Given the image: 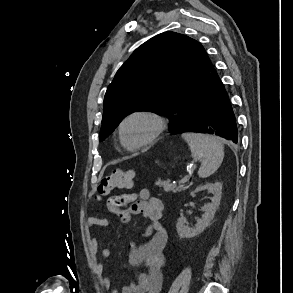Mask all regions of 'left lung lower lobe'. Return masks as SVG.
Instances as JSON below:
<instances>
[{
  "label": "left lung lower lobe",
  "mask_w": 293,
  "mask_h": 293,
  "mask_svg": "<svg viewBox=\"0 0 293 293\" xmlns=\"http://www.w3.org/2000/svg\"><path fill=\"white\" fill-rule=\"evenodd\" d=\"M170 132L210 133L238 142L235 116L225 87L214 69L207 84L187 101L181 121Z\"/></svg>",
  "instance_id": "0a47b994"
}]
</instances>
